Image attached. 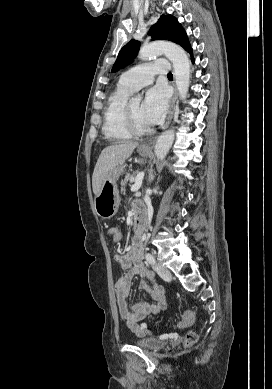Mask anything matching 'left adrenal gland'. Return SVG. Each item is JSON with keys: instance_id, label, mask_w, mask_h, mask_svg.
<instances>
[{"instance_id": "left-adrenal-gland-1", "label": "left adrenal gland", "mask_w": 272, "mask_h": 389, "mask_svg": "<svg viewBox=\"0 0 272 389\" xmlns=\"http://www.w3.org/2000/svg\"><path fill=\"white\" fill-rule=\"evenodd\" d=\"M154 178H155V176H154L153 172H151L149 175V182L151 183L154 180Z\"/></svg>"}]
</instances>
